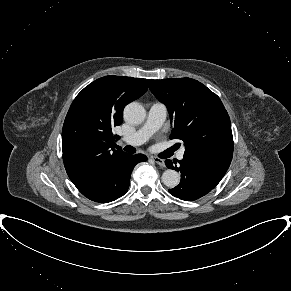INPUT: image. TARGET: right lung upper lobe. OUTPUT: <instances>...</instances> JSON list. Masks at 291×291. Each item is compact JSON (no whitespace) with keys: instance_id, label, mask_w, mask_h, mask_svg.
<instances>
[{"instance_id":"right-lung-upper-lobe-1","label":"right lung upper lobe","mask_w":291,"mask_h":291,"mask_svg":"<svg viewBox=\"0 0 291 291\" xmlns=\"http://www.w3.org/2000/svg\"><path fill=\"white\" fill-rule=\"evenodd\" d=\"M152 79L105 76L86 86L74 99L62 129L66 172L82 192L113 158L124 154L115 144L113 127L121 125L124 107L141 97Z\"/></svg>"}]
</instances>
